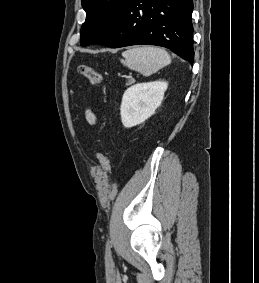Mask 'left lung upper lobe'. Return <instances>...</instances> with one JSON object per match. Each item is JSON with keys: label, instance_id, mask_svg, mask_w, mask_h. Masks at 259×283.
<instances>
[{"label": "left lung upper lobe", "instance_id": "5c2ea615", "mask_svg": "<svg viewBox=\"0 0 259 283\" xmlns=\"http://www.w3.org/2000/svg\"><path fill=\"white\" fill-rule=\"evenodd\" d=\"M129 0H82L86 20L81 29L82 46L97 44L114 28Z\"/></svg>", "mask_w": 259, "mask_h": 283}]
</instances>
